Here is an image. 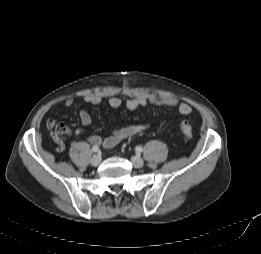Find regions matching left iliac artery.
Segmentation results:
<instances>
[{"instance_id": "obj_1", "label": "left iliac artery", "mask_w": 261, "mask_h": 254, "mask_svg": "<svg viewBox=\"0 0 261 254\" xmlns=\"http://www.w3.org/2000/svg\"><path fill=\"white\" fill-rule=\"evenodd\" d=\"M136 152L141 153L143 151L142 147L138 146L135 148Z\"/></svg>"}]
</instances>
